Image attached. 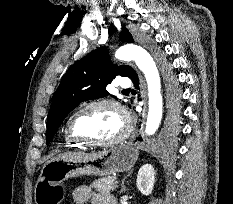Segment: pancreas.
I'll return each mask as SVG.
<instances>
[{
  "label": "pancreas",
  "instance_id": "obj_1",
  "mask_svg": "<svg viewBox=\"0 0 233 204\" xmlns=\"http://www.w3.org/2000/svg\"><path fill=\"white\" fill-rule=\"evenodd\" d=\"M90 187L96 189V191L100 193H110L113 192L118 185L115 177L107 176L95 180L91 183Z\"/></svg>",
  "mask_w": 233,
  "mask_h": 204
}]
</instances>
